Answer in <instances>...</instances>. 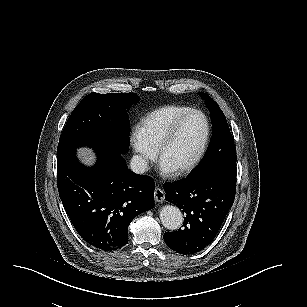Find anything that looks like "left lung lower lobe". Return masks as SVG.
Here are the masks:
<instances>
[{
  "label": "left lung lower lobe",
  "mask_w": 307,
  "mask_h": 307,
  "mask_svg": "<svg viewBox=\"0 0 307 307\" xmlns=\"http://www.w3.org/2000/svg\"><path fill=\"white\" fill-rule=\"evenodd\" d=\"M163 187L165 199L185 213L182 228L164 234L166 244L183 255L203 250L214 240L233 205L236 175L209 171Z\"/></svg>",
  "instance_id": "obj_1"
}]
</instances>
